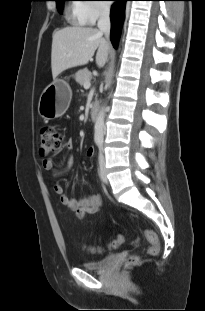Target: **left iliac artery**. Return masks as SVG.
I'll return each instance as SVG.
<instances>
[{"instance_id":"obj_1","label":"left iliac artery","mask_w":205,"mask_h":311,"mask_svg":"<svg viewBox=\"0 0 205 311\" xmlns=\"http://www.w3.org/2000/svg\"><path fill=\"white\" fill-rule=\"evenodd\" d=\"M98 146H99V149L101 150L102 149V143H98Z\"/></svg>"}]
</instances>
